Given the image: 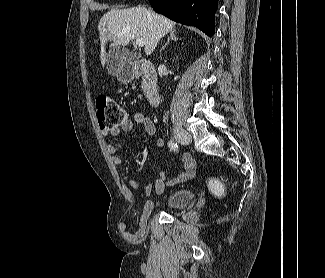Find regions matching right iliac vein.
Returning <instances> with one entry per match:
<instances>
[{
    "instance_id": "63e3f726",
    "label": "right iliac vein",
    "mask_w": 325,
    "mask_h": 278,
    "mask_svg": "<svg viewBox=\"0 0 325 278\" xmlns=\"http://www.w3.org/2000/svg\"><path fill=\"white\" fill-rule=\"evenodd\" d=\"M174 136L182 144L188 145L192 142L191 135L183 129L174 130Z\"/></svg>"
}]
</instances>
